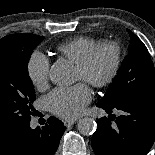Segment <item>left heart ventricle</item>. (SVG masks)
Segmentation results:
<instances>
[{
	"label": "left heart ventricle",
	"mask_w": 155,
	"mask_h": 155,
	"mask_svg": "<svg viewBox=\"0 0 155 155\" xmlns=\"http://www.w3.org/2000/svg\"><path fill=\"white\" fill-rule=\"evenodd\" d=\"M111 64H112V53L109 50L101 52L93 65V68L90 72V77L93 79H100L104 77L108 73ZM76 76L77 79L83 78L81 71L77 67H76Z\"/></svg>",
	"instance_id": "left-heart-ventricle-1"
}]
</instances>
